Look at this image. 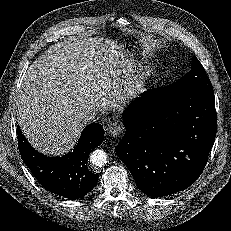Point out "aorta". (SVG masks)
<instances>
[{"label":"aorta","instance_id":"aorta-1","mask_svg":"<svg viewBox=\"0 0 231 231\" xmlns=\"http://www.w3.org/2000/svg\"><path fill=\"white\" fill-rule=\"evenodd\" d=\"M90 161L97 167H102L107 163V153L103 150L97 149L90 154Z\"/></svg>","mask_w":231,"mask_h":231}]
</instances>
